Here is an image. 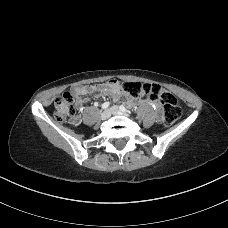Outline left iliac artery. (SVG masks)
Instances as JSON below:
<instances>
[{"label": "left iliac artery", "instance_id": "obj_1", "mask_svg": "<svg viewBox=\"0 0 228 228\" xmlns=\"http://www.w3.org/2000/svg\"><path fill=\"white\" fill-rule=\"evenodd\" d=\"M120 109H121L123 112L127 113V114H130V113H131V112H130L129 110H127L123 105L120 106Z\"/></svg>", "mask_w": 228, "mask_h": 228}]
</instances>
